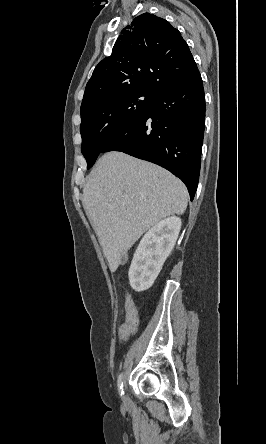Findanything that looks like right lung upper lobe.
<instances>
[{
	"label": "right lung upper lobe",
	"mask_w": 266,
	"mask_h": 444,
	"mask_svg": "<svg viewBox=\"0 0 266 444\" xmlns=\"http://www.w3.org/2000/svg\"><path fill=\"white\" fill-rule=\"evenodd\" d=\"M197 70L180 32L165 19L144 13L122 30L112 54L95 67L81 110L120 91L155 94L188 79Z\"/></svg>",
	"instance_id": "right-lung-upper-lobe-1"
}]
</instances>
